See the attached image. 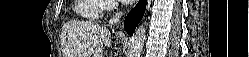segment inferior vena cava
<instances>
[{"label": "inferior vena cava", "mask_w": 249, "mask_h": 57, "mask_svg": "<svg viewBox=\"0 0 249 57\" xmlns=\"http://www.w3.org/2000/svg\"><path fill=\"white\" fill-rule=\"evenodd\" d=\"M122 13L121 12H117L115 14V16H113L110 20H109V24L114 25V24H118L120 21Z\"/></svg>", "instance_id": "1"}]
</instances>
